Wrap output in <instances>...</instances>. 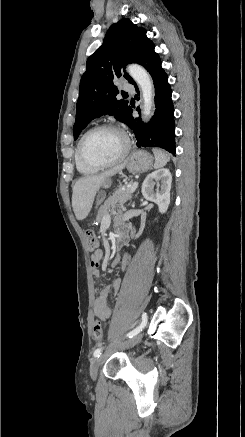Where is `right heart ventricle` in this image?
Wrapping results in <instances>:
<instances>
[{
  "label": "right heart ventricle",
  "instance_id": "right-heart-ventricle-1",
  "mask_svg": "<svg viewBox=\"0 0 245 437\" xmlns=\"http://www.w3.org/2000/svg\"><path fill=\"white\" fill-rule=\"evenodd\" d=\"M74 162H75V166H76L77 171L83 175H92V174H95L99 170L98 168L88 166L87 164H85L81 160L77 147L75 148Z\"/></svg>",
  "mask_w": 245,
  "mask_h": 437
}]
</instances>
